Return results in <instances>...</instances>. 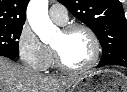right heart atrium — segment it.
I'll list each match as a JSON object with an SVG mask.
<instances>
[{"label": "right heart atrium", "instance_id": "d8ad5b80", "mask_svg": "<svg viewBox=\"0 0 127 92\" xmlns=\"http://www.w3.org/2000/svg\"><path fill=\"white\" fill-rule=\"evenodd\" d=\"M17 48L19 57L27 68L44 71L49 67L52 51L27 23L20 30Z\"/></svg>", "mask_w": 127, "mask_h": 92}]
</instances>
